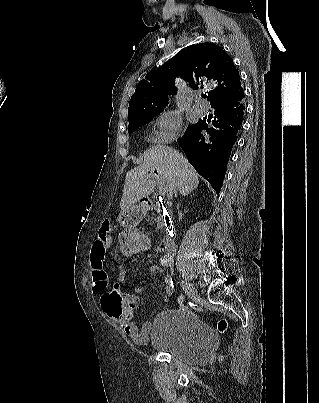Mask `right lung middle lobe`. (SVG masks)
I'll return each mask as SVG.
<instances>
[{
  "mask_svg": "<svg viewBox=\"0 0 319 403\" xmlns=\"http://www.w3.org/2000/svg\"><path fill=\"white\" fill-rule=\"evenodd\" d=\"M165 107L166 106L151 110L150 112L141 116L140 118L130 121L128 126V132L131 133L136 129H138L139 127L149 123L152 120V118L160 114L163 111V108Z\"/></svg>",
  "mask_w": 319,
  "mask_h": 403,
  "instance_id": "obj_1",
  "label": "right lung middle lobe"
}]
</instances>
